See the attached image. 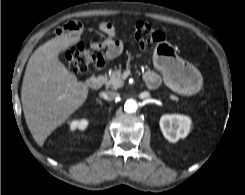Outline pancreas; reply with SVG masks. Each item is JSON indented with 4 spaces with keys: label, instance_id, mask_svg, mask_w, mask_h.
Instances as JSON below:
<instances>
[{
    "label": "pancreas",
    "instance_id": "cf45deb5",
    "mask_svg": "<svg viewBox=\"0 0 245 195\" xmlns=\"http://www.w3.org/2000/svg\"><path fill=\"white\" fill-rule=\"evenodd\" d=\"M105 84L112 89H118L124 85L122 74L120 70L114 71L109 78L106 79ZM171 100L178 101V97L170 95Z\"/></svg>",
    "mask_w": 245,
    "mask_h": 195
}]
</instances>
